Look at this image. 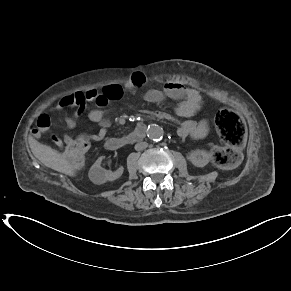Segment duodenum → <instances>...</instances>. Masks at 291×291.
<instances>
[{
    "label": "duodenum",
    "mask_w": 291,
    "mask_h": 291,
    "mask_svg": "<svg viewBox=\"0 0 291 291\" xmlns=\"http://www.w3.org/2000/svg\"><path fill=\"white\" fill-rule=\"evenodd\" d=\"M145 133L146 124L143 122L139 123L131 133L122 137L107 139L105 142V148L110 151L121 149L127 145L141 140L144 137Z\"/></svg>",
    "instance_id": "obj_1"
}]
</instances>
